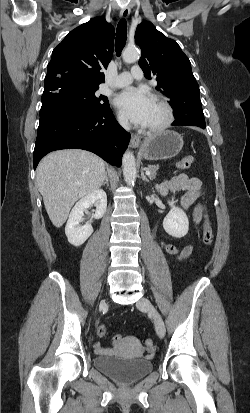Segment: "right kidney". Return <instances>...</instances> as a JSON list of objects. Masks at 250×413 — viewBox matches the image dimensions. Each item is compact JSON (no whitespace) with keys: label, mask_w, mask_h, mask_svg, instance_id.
Returning a JSON list of instances; mask_svg holds the SVG:
<instances>
[{"label":"right kidney","mask_w":250,"mask_h":413,"mask_svg":"<svg viewBox=\"0 0 250 413\" xmlns=\"http://www.w3.org/2000/svg\"><path fill=\"white\" fill-rule=\"evenodd\" d=\"M93 204L96 206V212L91 218H102L107 209V195L103 190L91 192L81 198L73 207L65 227V234L70 244L80 246L93 233L91 221L87 222L84 226L79 225L85 210Z\"/></svg>","instance_id":"1"}]
</instances>
